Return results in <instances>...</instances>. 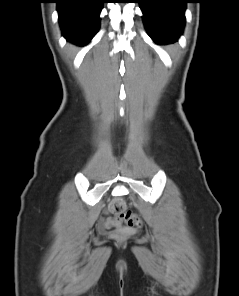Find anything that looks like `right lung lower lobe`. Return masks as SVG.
<instances>
[{"label":"right lung lower lobe","instance_id":"right-lung-lower-lobe-1","mask_svg":"<svg viewBox=\"0 0 239 296\" xmlns=\"http://www.w3.org/2000/svg\"><path fill=\"white\" fill-rule=\"evenodd\" d=\"M63 36L88 44L99 29L104 0H56Z\"/></svg>","mask_w":239,"mask_h":296}]
</instances>
